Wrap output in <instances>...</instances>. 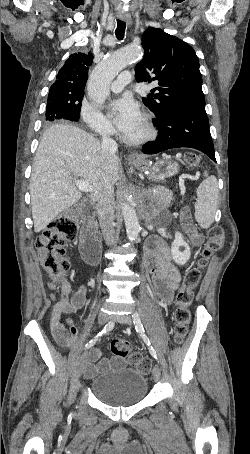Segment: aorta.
I'll use <instances>...</instances> for the list:
<instances>
[{
	"label": "aorta",
	"mask_w": 250,
	"mask_h": 454,
	"mask_svg": "<svg viewBox=\"0 0 250 454\" xmlns=\"http://www.w3.org/2000/svg\"><path fill=\"white\" fill-rule=\"evenodd\" d=\"M143 54L138 45H128L108 54L90 74L87 91L89 98L97 105L105 103L109 95V87L113 79L130 62ZM125 202L122 204V214L129 241H135L140 233V224L135 209L129 204V195L124 193Z\"/></svg>",
	"instance_id": "aorta-1"
}]
</instances>
